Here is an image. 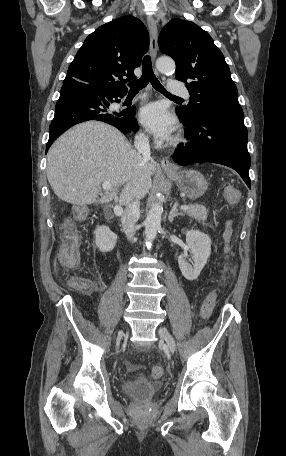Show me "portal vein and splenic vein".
I'll return each mask as SVG.
<instances>
[{
  "mask_svg": "<svg viewBox=\"0 0 286 456\" xmlns=\"http://www.w3.org/2000/svg\"><path fill=\"white\" fill-rule=\"evenodd\" d=\"M102 187H103V189H104L105 191H109V190L112 189V183H110V182H108V181H105V182L102 183ZM188 208H189L188 205H182V206L180 207L181 210H187ZM114 213H115L116 215H118V216L121 215V214L123 213L122 207L119 206V205H116V206L114 207Z\"/></svg>",
  "mask_w": 286,
  "mask_h": 456,
  "instance_id": "obj_1",
  "label": "portal vein and splenic vein"
}]
</instances>
